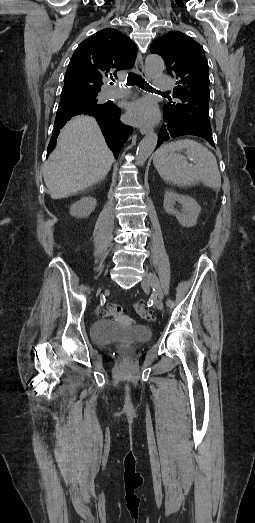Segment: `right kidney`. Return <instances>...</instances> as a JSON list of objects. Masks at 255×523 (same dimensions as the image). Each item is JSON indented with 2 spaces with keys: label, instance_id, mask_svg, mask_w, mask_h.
<instances>
[{
  "label": "right kidney",
  "instance_id": "ca27d5eb",
  "mask_svg": "<svg viewBox=\"0 0 255 523\" xmlns=\"http://www.w3.org/2000/svg\"><path fill=\"white\" fill-rule=\"evenodd\" d=\"M95 206V198H91V196H84V198H81L79 202H76V204L71 206L70 214L71 216H75V218H87V216H90L91 212L95 210Z\"/></svg>",
  "mask_w": 255,
  "mask_h": 523
}]
</instances>
